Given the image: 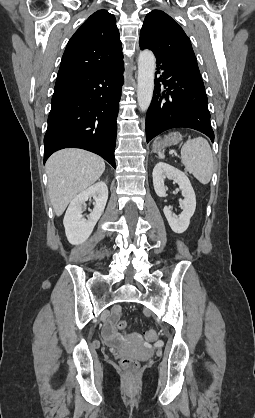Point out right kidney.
<instances>
[{"mask_svg":"<svg viewBox=\"0 0 255 418\" xmlns=\"http://www.w3.org/2000/svg\"><path fill=\"white\" fill-rule=\"evenodd\" d=\"M95 200L94 208L88 219L82 215V204L89 198ZM108 199V188L104 182H97L79 193L70 203L63 224L68 241L73 245L85 242L101 217Z\"/></svg>","mask_w":255,"mask_h":418,"instance_id":"1","label":"right kidney"}]
</instances>
